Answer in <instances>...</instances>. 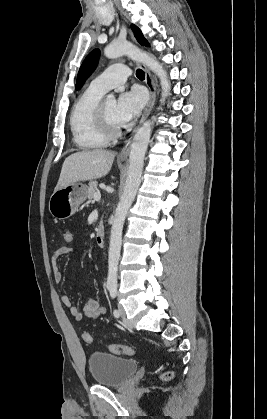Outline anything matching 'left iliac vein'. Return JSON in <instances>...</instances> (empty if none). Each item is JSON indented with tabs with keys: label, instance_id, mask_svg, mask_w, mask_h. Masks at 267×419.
Listing matches in <instances>:
<instances>
[{
	"label": "left iliac vein",
	"instance_id": "1",
	"mask_svg": "<svg viewBox=\"0 0 267 419\" xmlns=\"http://www.w3.org/2000/svg\"><path fill=\"white\" fill-rule=\"evenodd\" d=\"M119 313L123 319V322L125 323V325L127 326H131L130 322L126 319V314H125V310L123 308L122 305H119Z\"/></svg>",
	"mask_w": 267,
	"mask_h": 419
}]
</instances>
